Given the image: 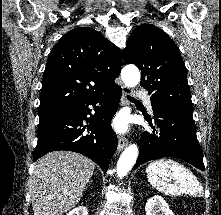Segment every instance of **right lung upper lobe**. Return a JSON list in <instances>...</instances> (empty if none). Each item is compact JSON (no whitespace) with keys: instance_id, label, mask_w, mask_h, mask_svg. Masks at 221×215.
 Returning a JSON list of instances; mask_svg holds the SVG:
<instances>
[{"instance_id":"obj_1","label":"right lung upper lobe","mask_w":221,"mask_h":215,"mask_svg":"<svg viewBox=\"0 0 221 215\" xmlns=\"http://www.w3.org/2000/svg\"><path fill=\"white\" fill-rule=\"evenodd\" d=\"M121 50L92 28L67 32L53 47L43 74L39 116L66 109L115 85Z\"/></svg>"}]
</instances>
